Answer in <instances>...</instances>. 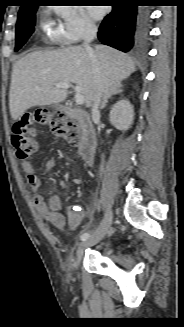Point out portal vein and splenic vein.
<instances>
[{"label":"portal vein and splenic vein","instance_id":"portal-vein-and-splenic-vein-1","mask_svg":"<svg viewBox=\"0 0 184 327\" xmlns=\"http://www.w3.org/2000/svg\"><path fill=\"white\" fill-rule=\"evenodd\" d=\"M55 87L57 89H68L72 87V84L70 82L57 83ZM75 102L77 105H82L84 103V97L78 87H75Z\"/></svg>","mask_w":184,"mask_h":327}]
</instances>
